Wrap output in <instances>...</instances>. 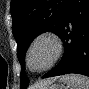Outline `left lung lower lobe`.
<instances>
[{"mask_svg": "<svg viewBox=\"0 0 89 89\" xmlns=\"http://www.w3.org/2000/svg\"><path fill=\"white\" fill-rule=\"evenodd\" d=\"M58 36L64 43L63 58L43 78L68 73L89 76V0H70Z\"/></svg>", "mask_w": 89, "mask_h": 89, "instance_id": "0a47b994", "label": "left lung lower lobe"}]
</instances>
